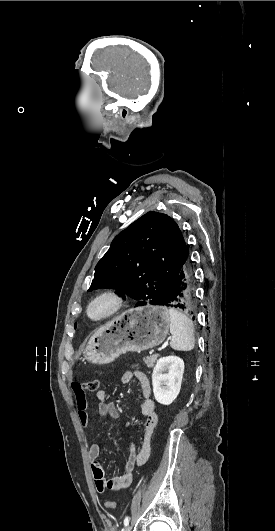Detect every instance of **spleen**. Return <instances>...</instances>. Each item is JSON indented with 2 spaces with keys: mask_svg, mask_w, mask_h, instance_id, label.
I'll use <instances>...</instances> for the list:
<instances>
[{
  "mask_svg": "<svg viewBox=\"0 0 275 531\" xmlns=\"http://www.w3.org/2000/svg\"><path fill=\"white\" fill-rule=\"evenodd\" d=\"M170 315V333L172 335L170 347L175 351H192L195 347L194 325L187 315L168 309Z\"/></svg>",
  "mask_w": 275,
  "mask_h": 531,
  "instance_id": "spleen-1",
  "label": "spleen"
}]
</instances>
